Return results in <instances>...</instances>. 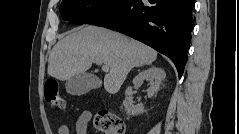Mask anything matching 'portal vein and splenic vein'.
<instances>
[{
  "mask_svg": "<svg viewBox=\"0 0 239 134\" xmlns=\"http://www.w3.org/2000/svg\"><path fill=\"white\" fill-rule=\"evenodd\" d=\"M99 64H101V63H99ZM102 70L108 72V71H109V66L104 63V64L102 65Z\"/></svg>",
  "mask_w": 239,
  "mask_h": 134,
  "instance_id": "1",
  "label": "portal vein and splenic vein"
}]
</instances>
